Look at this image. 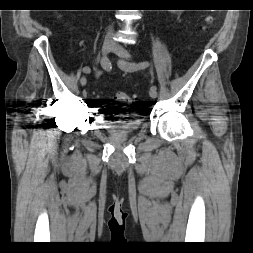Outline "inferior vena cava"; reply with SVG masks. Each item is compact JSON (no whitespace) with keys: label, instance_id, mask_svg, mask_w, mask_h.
Returning <instances> with one entry per match:
<instances>
[{"label":"inferior vena cava","instance_id":"602c4592","mask_svg":"<svg viewBox=\"0 0 253 253\" xmlns=\"http://www.w3.org/2000/svg\"><path fill=\"white\" fill-rule=\"evenodd\" d=\"M111 34H112V29H110V30H109V32H108V34H107V36H108V37H110V36H111Z\"/></svg>","mask_w":253,"mask_h":253}]
</instances>
